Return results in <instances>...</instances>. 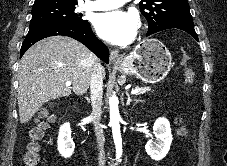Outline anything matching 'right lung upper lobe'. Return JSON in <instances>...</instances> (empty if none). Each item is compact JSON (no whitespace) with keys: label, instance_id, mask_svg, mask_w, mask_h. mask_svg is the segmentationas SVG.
Listing matches in <instances>:
<instances>
[{"label":"right lung upper lobe","instance_id":"obj_1","mask_svg":"<svg viewBox=\"0 0 227 166\" xmlns=\"http://www.w3.org/2000/svg\"><path fill=\"white\" fill-rule=\"evenodd\" d=\"M48 2L77 3V0H35L34 5Z\"/></svg>","mask_w":227,"mask_h":166}]
</instances>
